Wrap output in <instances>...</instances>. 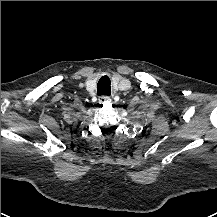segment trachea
Masks as SVG:
<instances>
[{
	"mask_svg": "<svg viewBox=\"0 0 217 217\" xmlns=\"http://www.w3.org/2000/svg\"><path fill=\"white\" fill-rule=\"evenodd\" d=\"M110 79L108 76H102L98 81L97 85V94L100 96H110L111 94V86H110Z\"/></svg>",
	"mask_w": 217,
	"mask_h": 217,
	"instance_id": "1",
	"label": "trachea"
}]
</instances>
